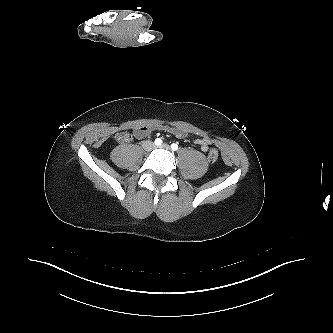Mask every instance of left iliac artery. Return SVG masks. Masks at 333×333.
Returning a JSON list of instances; mask_svg holds the SVG:
<instances>
[{"label": "left iliac artery", "instance_id": "left-iliac-artery-1", "mask_svg": "<svg viewBox=\"0 0 333 333\" xmlns=\"http://www.w3.org/2000/svg\"><path fill=\"white\" fill-rule=\"evenodd\" d=\"M171 149L174 150V151L178 150V145L175 144V143H173V144L171 145Z\"/></svg>", "mask_w": 333, "mask_h": 333}]
</instances>
